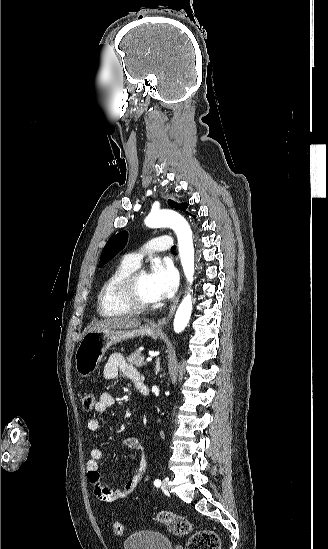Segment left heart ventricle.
<instances>
[{
    "label": "left heart ventricle",
    "instance_id": "obj_1",
    "mask_svg": "<svg viewBox=\"0 0 328 549\" xmlns=\"http://www.w3.org/2000/svg\"><path fill=\"white\" fill-rule=\"evenodd\" d=\"M136 296L144 302H155L150 289L149 274L142 275L135 285Z\"/></svg>",
    "mask_w": 328,
    "mask_h": 549
}]
</instances>
